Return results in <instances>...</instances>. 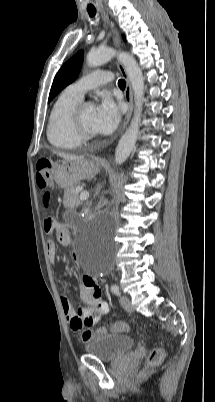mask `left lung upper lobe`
<instances>
[{"label":"left lung upper lobe","instance_id":"left-lung-upper-lobe-1","mask_svg":"<svg viewBox=\"0 0 215 402\" xmlns=\"http://www.w3.org/2000/svg\"><path fill=\"white\" fill-rule=\"evenodd\" d=\"M82 61L83 51H79L61 67L53 81L48 102H50L63 88L72 83L78 77Z\"/></svg>","mask_w":215,"mask_h":402}]
</instances>
